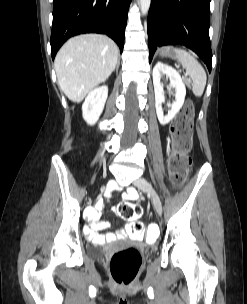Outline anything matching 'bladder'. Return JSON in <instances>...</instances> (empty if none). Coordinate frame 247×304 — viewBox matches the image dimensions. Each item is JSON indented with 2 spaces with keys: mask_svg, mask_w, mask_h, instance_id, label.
I'll return each instance as SVG.
<instances>
[{
  "mask_svg": "<svg viewBox=\"0 0 247 304\" xmlns=\"http://www.w3.org/2000/svg\"><path fill=\"white\" fill-rule=\"evenodd\" d=\"M88 253L92 256V257H100L103 253L102 249H98V248H90Z\"/></svg>",
  "mask_w": 247,
  "mask_h": 304,
  "instance_id": "1",
  "label": "bladder"
}]
</instances>
